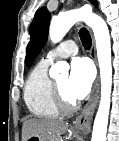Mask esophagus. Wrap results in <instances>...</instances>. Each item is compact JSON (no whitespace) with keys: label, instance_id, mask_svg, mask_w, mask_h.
I'll list each match as a JSON object with an SVG mask.
<instances>
[{"label":"esophagus","instance_id":"esophagus-1","mask_svg":"<svg viewBox=\"0 0 119 141\" xmlns=\"http://www.w3.org/2000/svg\"><path fill=\"white\" fill-rule=\"evenodd\" d=\"M90 57L94 60L96 66H98L97 57H96V47L93 37H92V46L90 50ZM99 87H100V78L98 74L93 84L87 103L85 104L81 113L73 121V127L78 132H81L83 134H88L90 132L92 116L98 101Z\"/></svg>","mask_w":119,"mask_h":141}]
</instances>
